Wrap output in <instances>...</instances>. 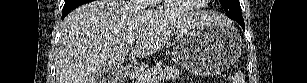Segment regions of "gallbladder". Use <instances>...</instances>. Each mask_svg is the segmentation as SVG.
Here are the masks:
<instances>
[{
	"label": "gallbladder",
	"instance_id": "bac80fb5",
	"mask_svg": "<svg viewBox=\"0 0 307 83\" xmlns=\"http://www.w3.org/2000/svg\"><path fill=\"white\" fill-rule=\"evenodd\" d=\"M119 75V69L104 67L95 74V80L97 83H114L118 81Z\"/></svg>",
	"mask_w": 307,
	"mask_h": 83
}]
</instances>
